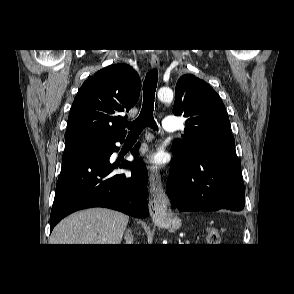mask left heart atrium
Here are the masks:
<instances>
[{
    "instance_id": "39dd6f15",
    "label": "left heart atrium",
    "mask_w": 294,
    "mask_h": 294,
    "mask_svg": "<svg viewBox=\"0 0 294 294\" xmlns=\"http://www.w3.org/2000/svg\"><path fill=\"white\" fill-rule=\"evenodd\" d=\"M147 163L153 170L158 169L163 164V157L160 153H154L148 157Z\"/></svg>"
}]
</instances>
